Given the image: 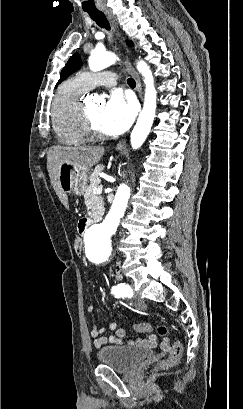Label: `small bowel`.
Instances as JSON below:
<instances>
[{"mask_svg": "<svg viewBox=\"0 0 243 409\" xmlns=\"http://www.w3.org/2000/svg\"><path fill=\"white\" fill-rule=\"evenodd\" d=\"M116 276H119V272H116ZM89 313L95 311L93 305L87 307ZM106 328L94 324L91 329V337L93 338L94 345L97 348L102 347L106 343L115 344V345H125L131 347H142V348H155L157 345L156 336L153 334L148 335L147 337H136V338H125V331L121 328H117L115 323H112L108 326V330L113 331L114 333L105 336ZM163 350H168L167 347L162 346Z\"/></svg>", "mask_w": 243, "mask_h": 409, "instance_id": "obj_1", "label": "small bowel"}]
</instances>
